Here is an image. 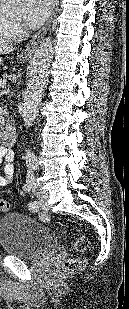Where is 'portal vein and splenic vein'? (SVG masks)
<instances>
[{"label":"portal vein and splenic vein","mask_w":129,"mask_h":309,"mask_svg":"<svg viewBox=\"0 0 129 309\" xmlns=\"http://www.w3.org/2000/svg\"><path fill=\"white\" fill-rule=\"evenodd\" d=\"M4 86H6V82H1L0 87H4Z\"/></svg>","instance_id":"1"}]
</instances>
